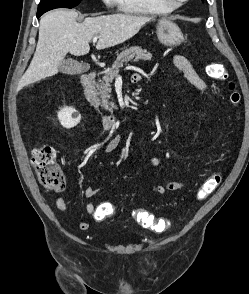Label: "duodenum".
<instances>
[{"mask_svg":"<svg viewBox=\"0 0 249 294\" xmlns=\"http://www.w3.org/2000/svg\"><path fill=\"white\" fill-rule=\"evenodd\" d=\"M97 71L91 70L81 74L79 83L81 88V93L86 101V103L95 111L100 113L102 125L105 130L117 129L120 125L124 123L123 118H119L114 115H108L101 112V101L96 95L93 87V79L96 76Z\"/></svg>","mask_w":249,"mask_h":294,"instance_id":"1","label":"duodenum"}]
</instances>
